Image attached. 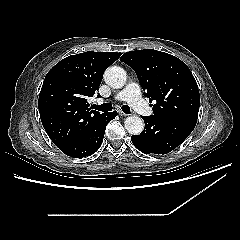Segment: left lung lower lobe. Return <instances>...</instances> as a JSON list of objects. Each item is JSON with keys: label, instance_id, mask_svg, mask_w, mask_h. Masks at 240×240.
<instances>
[{"label": "left lung lower lobe", "instance_id": "1", "mask_svg": "<svg viewBox=\"0 0 240 240\" xmlns=\"http://www.w3.org/2000/svg\"><path fill=\"white\" fill-rule=\"evenodd\" d=\"M145 128L132 136L134 146L145 154H166L178 147L193 131L197 118H155L142 116Z\"/></svg>", "mask_w": 240, "mask_h": 240}]
</instances>
